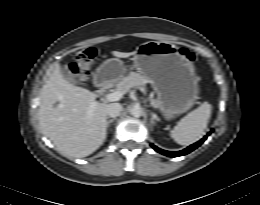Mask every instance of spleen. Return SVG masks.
I'll list each match as a JSON object with an SVG mask.
<instances>
[{
    "instance_id": "3e777b00",
    "label": "spleen",
    "mask_w": 260,
    "mask_h": 205,
    "mask_svg": "<svg viewBox=\"0 0 260 205\" xmlns=\"http://www.w3.org/2000/svg\"><path fill=\"white\" fill-rule=\"evenodd\" d=\"M211 110L208 102L201 104L179 121L171 131V137L180 145H190L199 140L207 127Z\"/></svg>"
}]
</instances>
